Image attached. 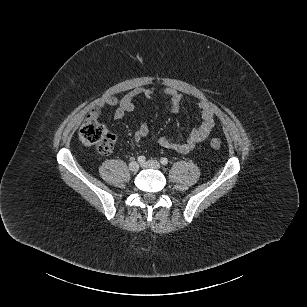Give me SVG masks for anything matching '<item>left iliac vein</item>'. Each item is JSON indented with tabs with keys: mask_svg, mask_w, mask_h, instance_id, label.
<instances>
[{
	"mask_svg": "<svg viewBox=\"0 0 307 307\" xmlns=\"http://www.w3.org/2000/svg\"><path fill=\"white\" fill-rule=\"evenodd\" d=\"M143 168L160 169V163L156 160H149L141 164Z\"/></svg>",
	"mask_w": 307,
	"mask_h": 307,
	"instance_id": "left-iliac-vein-1",
	"label": "left iliac vein"
}]
</instances>
